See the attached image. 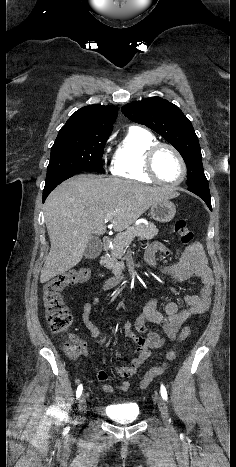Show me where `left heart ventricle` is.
I'll use <instances>...</instances> for the list:
<instances>
[{
    "label": "left heart ventricle",
    "instance_id": "left-heart-ventricle-1",
    "mask_svg": "<svg viewBox=\"0 0 236 467\" xmlns=\"http://www.w3.org/2000/svg\"><path fill=\"white\" fill-rule=\"evenodd\" d=\"M155 165L159 177L166 182H176L182 175L181 164L169 149H162L158 153Z\"/></svg>",
    "mask_w": 236,
    "mask_h": 467
}]
</instances>
